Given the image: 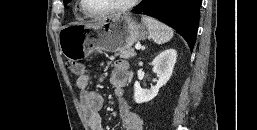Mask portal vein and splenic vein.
Segmentation results:
<instances>
[{
    "label": "portal vein and splenic vein",
    "mask_w": 257,
    "mask_h": 130,
    "mask_svg": "<svg viewBox=\"0 0 257 130\" xmlns=\"http://www.w3.org/2000/svg\"><path fill=\"white\" fill-rule=\"evenodd\" d=\"M135 48H136L137 50H140V49H141V46H140V45H137V46H135Z\"/></svg>",
    "instance_id": "portal-vein-and-splenic-vein-1"
}]
</instances>
